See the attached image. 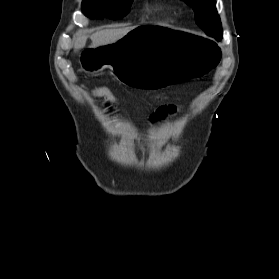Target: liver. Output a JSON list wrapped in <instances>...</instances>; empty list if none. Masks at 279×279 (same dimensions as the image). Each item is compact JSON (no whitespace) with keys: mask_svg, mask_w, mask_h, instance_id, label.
<instances>
[{"mask_svg":"<svg viewBox=\"0 0 279 279\" xmlns=\"http://www.w3.org/2000/svg\"><path fill=\"white\" fill-rule=\"evenodd\" d=\"M134 27L118 28V29H106L98 31L91 35V47L97 48L99 46L110 45L121 39L127 33L132 31ZM87 37L83 34H78L74 42V49L80 50L85 47Z\"/></svg>","mask_w":279,"mask_h":279,"instance_id":"6515ba94","label":"liver"}]
</instances>
